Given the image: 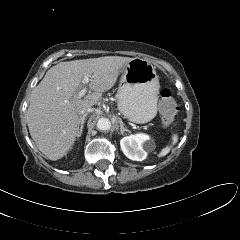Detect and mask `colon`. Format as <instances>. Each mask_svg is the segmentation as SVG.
<instances>
[{
	"mask_svg": "<svg viewBox=\"0 0 240 240\" xmlns=\"http://www.w3.org/2000/svg\"><path fill=\"white\" fill-rule=\"evenodd\" d=\"M159 109L165 125L173 122L177 113V105L169 89H163L160 93Z\"/></svg>",
	"mask_w": 240,
	"mask_h": 240,
	"instance_id": "obj_1",
	"label": "colon"
}]
</instances>
